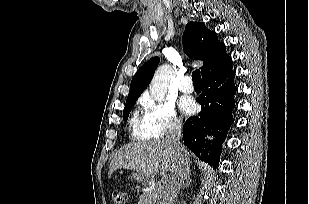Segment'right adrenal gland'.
<instances>
[{"label": "right adrenal gland", "mask_w": 309, "mask_h": 204, "mask_svg": "<svg viewBox=\"0 0 309 204\" xmlns=\"http://www.w3.org/2000/svg\"><path fill=\"white\" fill-rule=\"evenodd\" d=\"M190 182H191V179H190V177H189V175H188V177H187V179H186V182H185V185H189L190 184Z\"/></svg>", "instance_id": "1"}]
</instances>
